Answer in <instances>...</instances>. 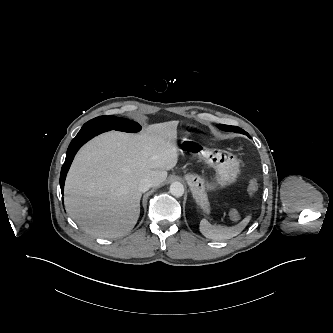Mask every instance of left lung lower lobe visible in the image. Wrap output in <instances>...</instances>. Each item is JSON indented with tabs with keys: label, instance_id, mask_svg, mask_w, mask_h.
<instances>
[{
	"label": "left lung lower lobe",
	"instance_id": "0a47b994",
	"mask_svg": "<svg viewBox=\"0 0 333 333\" xmlns=\"http://www.w3.org/2000/svg\"><path fill=\"white\" fill-rule=\"evenodd\" d=\"M242 134H245V135H247L248 137H250V136L248 135V133H246V132H242Z\"/></svg>",
	"mask_w": 333,
	"mask_h": 333
}]
</instances>
